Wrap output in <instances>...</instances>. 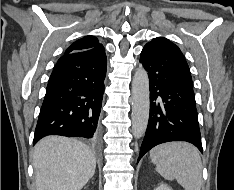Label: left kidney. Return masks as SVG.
<instances>
[{
    "instance_id": "left-kidney-1",
    "label": "left kidney",
    "mask_w": 234,
    "mask_h": 190,
    "mask_svg": "<svg viewBox=\"0 0 234 190\" xmlns=\"http://www.w3.org/2000/svg\"><path fill=\"white\" fill-rule=\"evenodd\" d=\"M155 190H172V189H170L168 185L162 183Z\"/></svg>"
}]
</instances>
